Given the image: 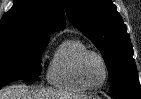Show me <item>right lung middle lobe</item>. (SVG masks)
Returning a JSON list of instances; mask_svg holds the SVG:
<instances>
[{"mask_svg":"<svg viewBox=\"0 0 141 99\" xmlns=\"http://www.w3.org/2000/svg\"><path fill=\"white\" fill-rule=\"evenodd\" d=\"M48 41L27 36H0V88L41 73V54Z\"/></svg>","mask_w":141,"mask_h":99,"instance_id":"1","label":"right lung middle lobe"}]
</instances>
